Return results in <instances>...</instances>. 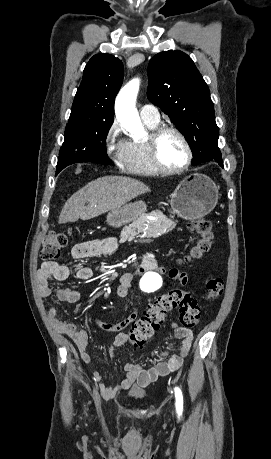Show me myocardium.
<instances>
[{
  "instance_id": "f54148a6",
  "label": "myocardium",
  "mask_w": 271,
  "mask_h": 459,
  "mask_svg": "<svg viewBox=\"0 0 271 459\" xmlns=\"http://www.w3.org/2000/svg\"><path fill=\"white\" fill-rule=\"evenodd\" d=\"M169 132H173L179 135L187 147L188 157H187V160L182 165L169 166L165 164L161 158L160 141L162 137L166 133H169ZM148 144H149L150 155H151L153 163L155 164V166L158 168L159 171H162L164 173L174 174V173L183 172L186 169H188L194 161V157H195L194 149H193V146L188 136L185 134V132L182 129H180L179 127L175 125H161L157 127L156 129H154L148 138Z\"/></svg>"
}]
</instances>
